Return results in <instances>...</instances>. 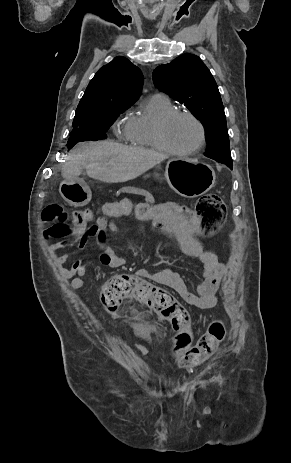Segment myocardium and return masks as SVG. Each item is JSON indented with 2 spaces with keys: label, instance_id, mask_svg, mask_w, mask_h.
<instances>
[{
  "label": "myocardium",
  "instance_id": "f54148a6",
  "mask_svg": "<svg viewBox=\"0 0 291 463\" xmlns=\"http://www.w3.org/2000/svg\"><path fill=\"white\" fill-rule=\"evenodd\" d=\"M179 116H186L193 120L199 128L200 137L198 143L187 150H178L174 148L167 140L166 129L169 123ZM155 137L160 149L173 156H189L199 152L206 142V129L202 121L190 111L174 109L162 116L155 126Z\"/></svg>",
  "mask_w": 291,
  "mask_h": 463
}]
</instances>
